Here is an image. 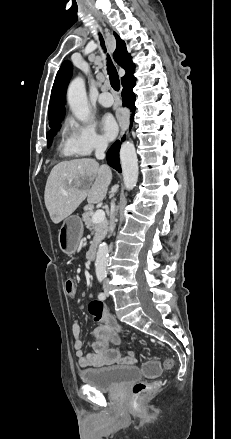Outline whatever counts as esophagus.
I'll return each mask as SVG.
<instances>
[{"mask_svg":"<svg viewBox=\"0 0 231 439\" xmlns=\"http://www.w3.org/2000/svg\"><path fill=\"white\" fill-rule=\"evenodd\" d=\"M127 129H128V123L126 122L121 126V135L124 134Z\"/></svg>","mask_w":231,"mask_h":439,"instance_id":"esophagus-1","label":"esophagus"}]
</instances>
